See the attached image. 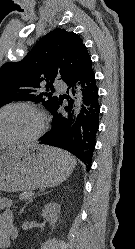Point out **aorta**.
Instances as JSON below:
<instances>
[{
    "mask_svg": "<svg viewBox=\"0 0 135 249\" xmlns=\"http://www.w3.org/2000/svg\"><path fill=\"white\" fill-rule=\"evenodd\" d=\"M76 97H77V102L75 104V108H74V114L75 116H77L80 112V103H81V100H82V93L80 90H78L77 94H76Z\"/></svg>",
    "mask_w": 135,
    "mask_h": 249,
    "instance_id": "aorta-1",
    "label": "aorta"
}]
</instances>
